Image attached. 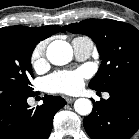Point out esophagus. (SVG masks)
<instances>
[{"label": "esophagus", "instance_id": "obj_1", "mask_svg": "<svg viewBox=\"0 0 139 139\" xmlns=\"http://www.w3.org/2000/svg\"><path fill=\"white\" fill-rule=\"evenodd\" d=\"M65 100H66L67 103H72L75 100V98H73V97H66Z\"/></svg>", "mask_w": 139, "mask_h": 139}]
</instances>
